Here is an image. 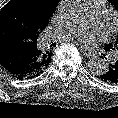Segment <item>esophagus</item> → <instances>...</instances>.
I'll list each match as a JSON object with an SVG mask.
<instances>
[{"label":"esophagus","mask_w":118,"mask_h":118,"mask_svg":"<svg viewBox=\"0 0 118 118\" xmlns=\"http://www.w3.org/2000/svg\"><path fill=\"white\" fill-rule=\"evenodd\" d=\"M81 52L88 58H92L93 57V53L90 52L89 50L83 48L82 46L80 47Z\"/></svg>","instance_id":"obj_1"}]
</instances>
